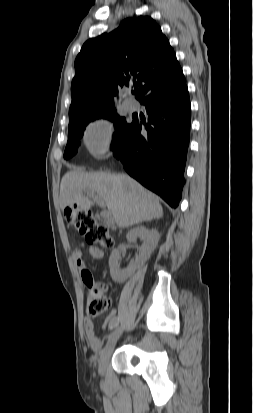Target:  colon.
Here are the masks:
<instances>
[{
  "instance_id": "colon-1",
  "label": "colon",
  "mask_w": 253,
  "mask_h": 413,
  "mask_svg": "<svg viewBox=\"0 0 253 413\" xmlns=\"http://www.w3.org/2000/svg\"><path fill=\"white\" fill-rule=\"evenodd\" d=\"M68 224L77 229L89 244H100L104 247L113 245V238L108 228L98 222L89 212L76 207H67L64 211ZM87 313L90 316H97L104 313L109 306V301L105 295L106 286L103 284H91L88 286Z\"/></svg>"
}]
</instances>
